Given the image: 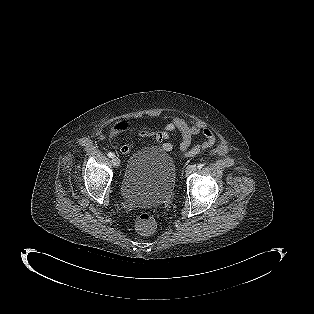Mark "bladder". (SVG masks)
<instances>
[{"instance_id": "31cf9c89", "label": "bladder", "mask_w": 314, "mask_h": 314, "mask_svg": "<svg viewBox=\"0 0 314 314\" xmlns=\"http://www.w3.org/2000/svg\"><path fill=\"white\" fill-rule=\"evenodd\" d=\"M176 163L157 147L136 151L129 159L120 193L134 207L155 208L175 189Z\"/></svg>"}]
</instances>
